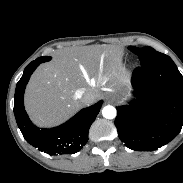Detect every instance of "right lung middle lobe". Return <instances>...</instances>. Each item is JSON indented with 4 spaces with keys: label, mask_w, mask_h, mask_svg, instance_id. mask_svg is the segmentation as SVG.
Returning a JSON list of instances; mask_svg holds the SVG:
<instances>
[{
    "label": "right lung middle lobe",
    "mask_w": 183,
    "mask_h": 183,
    "mask_svg": "<svg viewBox=\"0 0 183 183\" xmlns=\"http://www.w3.org/2000/svg\"><path fill=\"white\" fill-rule=\"evenodd\" d=\"M45 57H48V56H45ZM51 59V57H49V60Z\"/></svg>",
    "instance_id": "dd1d6c3e"
}]
</instances>
